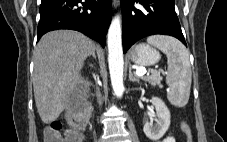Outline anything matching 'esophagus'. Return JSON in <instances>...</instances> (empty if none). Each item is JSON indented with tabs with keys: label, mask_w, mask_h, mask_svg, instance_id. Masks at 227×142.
<instances>
[{
	"label": "esophagus",
	"mask_w": 227,
	"mask_h": 142,
	"mask_svg": "<svg viewBox=\"0 0 227 142\" xmlns=\"http://www.w3.org/2000/svg\"><path fill=\"white\" fill-rule=\"evenodd\" d=\"M112 5L114 8H116L118 5V0H112Z\"/></svg>",
	"instance_id": "esophagus-1"
}]
</instances>
